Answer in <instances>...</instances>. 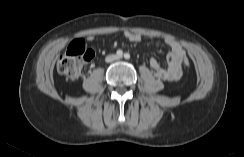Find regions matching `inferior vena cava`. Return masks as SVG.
I'll return each instance as SVG.
<instances>
[{
	"label": "inferior vena cava",
	"mask_w": 244,
	"mask_h": 157,
	"mask_svg": "<svg viewBox=\"0 0 244 157\" xmlns=\"http://www.w3.org/2000/svg\"><path fill=\"white\" fill-rule=\"evenodd\" d=\"M116 59H117L116 55L112 54V55H108V56L106 57L105 61H106V62H112V61H114V60H116Z\"/></svg>",
	"instance_id": "602c4592"
}]
</instances>
